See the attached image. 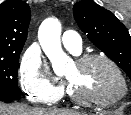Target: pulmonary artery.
<instances>
[{
    "instance_id": "obj_1",
    "label": "pulmonary artery",
    "mask_w": 131,
    "mask_h": 115,
    "mask_svg": "<svg viewBox=\"0 0 131 115\" xmlns=\"http://www.w3.org/2000/svg\"><path fill=\"white\" fill-rule=\"evenodd\" d=\"M62 43L69 51L79 54L82 49V40L77 32L65 31L62 35Z\"/></svg>"
}]
</instances>
